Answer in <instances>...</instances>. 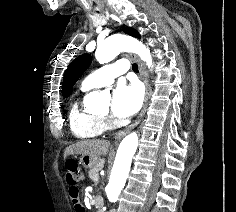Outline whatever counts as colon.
Instances as JSON below:
<instances>
[{
	"label": "colon",
	"instance_id": "obj_1",
	"mask_svg": "<svg viewBox=\"0 0 236 212\" xmlns=\"http://www.w3.org/2000/svg\"><path fill=\"white\" fill-rule=\"evenodd\" d=\"M67 173H66V180L67 183L70 185V182L76 180L77 186L83 182L84 180V173L77 162L69 161L66 165Z\"/></svg>",
	"mask_w": 236,
	"mask_h": 212
}]
</instances>
